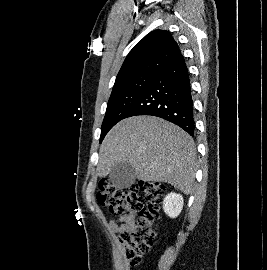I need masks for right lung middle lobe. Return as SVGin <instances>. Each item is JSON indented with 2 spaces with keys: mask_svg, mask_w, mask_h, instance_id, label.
Returning a JSON list of instances; mask_svg holds the SVG:
<instances>
[{
  "mask_svg": "<svg viewBox=\"0 0 267 270\" xmlns=\"http://www.w3.org/2000/svg\"><path fill=\"white\" fill-rule=\"evenodd\" d=\"M154 76L153 74L137 76L113 87L101 127L100 142L116 123L126 118L132 107L145 93Z\"/></svg>",
  "mask_w": 267,
  "mask_h": 270,
  "instance_id": "1",
  "label": "right lung middle lobe"
}]
</instances>
